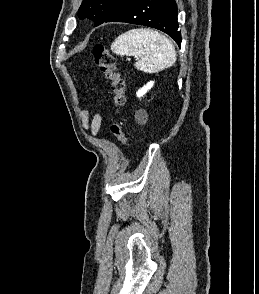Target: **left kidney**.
Returning <instances> with one entry per match:
<instances>
[{"mask_svg":"<svg viewBox=\"0 0 259 294\" xmlns=\"http://www.w3.org/2000/svg\"><path fill=\"white\" fill-rule=\"evenodd\" d=\"M154 85L153 81H150L149 83H147L144 87H142L138 92H137V97H142L143 95H145L147 93L148 90H150Z\"/></svg>","mask_w":259,"mask_h":294,"instance_id":"left-kidney-1","label":"left kidney"}]
</instances>
